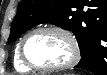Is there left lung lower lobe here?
<instances>
[{
    "instance_id": "obj_1",
    "label": "left lung lower lobe",
    "mask_w": 107,
    "mask_h": 75,
    "mask_svg": "<svg viewBox=\"0 0 107 75\" xmlns=\"http://www.w3.org/2000/svg\"><path fill=\"white\" fill-rule=\"evenodd\" d=\"M84 6H88V10L99 18L107 16V0H85ZM96 36L91 29L85 33L82 39V58L75 67L97 75H107V40L100 41Z\"/></svg>"
}]
</instances>
